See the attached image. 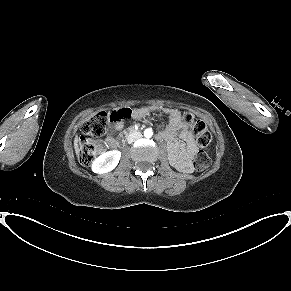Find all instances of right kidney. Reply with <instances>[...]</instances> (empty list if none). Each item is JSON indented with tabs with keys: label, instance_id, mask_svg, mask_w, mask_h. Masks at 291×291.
<instances>
[{
	"label": "right kidney",
	"instance_id": "obj_1",
	"mask_svg": "<svg viewBox=\"0 0 291 291\" xmlns=\"http://www.w3.org/2000/svg\"><path fill=\"white\" fill-rule=\"evenodd\" d=\"M121 152L118 150L108 151L97 157L92 163L94 173H107L112 171L119 163Z\"/></svg>",
	"mask_w": 291,
	"mask_h": 291
}]
</instances>
